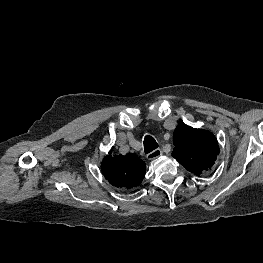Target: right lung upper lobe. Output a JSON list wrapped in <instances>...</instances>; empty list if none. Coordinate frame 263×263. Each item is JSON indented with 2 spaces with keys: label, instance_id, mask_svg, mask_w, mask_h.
<instances>
[{
  "label": "right lung upper lobe",
  "instance_id": "1",
  "mask_svg": "<svg viewBox=\"0 0 263 263\" xmlns=\"http://www.w3.org/2000/svg\"><path fill=\"white\" fill-rule=\"evenodd\" d=\"M101 171L113 186L130 189L141 184L146 164L133 153L112 156L109 152L101 162Z\"/></svg>",
  "mask_w": 263,
  "mask_h": 263
}]
</instances>
